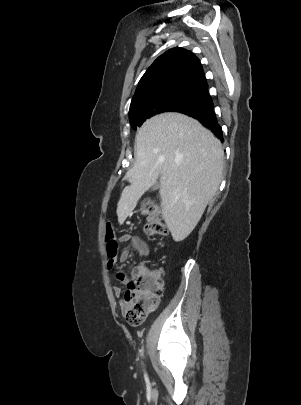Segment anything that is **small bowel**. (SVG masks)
<instances>
[{
    "mask_svg": "<svg viewBox=\"0 0 301 405\" xmlns=\"http://www.w3.org/2000/svg\"><path fill=\"white\" fill-rule=\"evenodd\" d=\"M119 242L120 243L129 242L131 248L142 256H146L149 254V247L147 243L138 236L125 234L119 238ZM129 257H130L129 250H124L121 252L117 251V253L114 256L109 257L107 262L108 268H113L117 261H120L122 263L127 261ZM117 278L122 284H126L129 282L128 276L125 275L122 271L117 272ZM114 293L116 296L120 297L122 295V288L120 286H115Z\"/></svg>",
    "mask_w": 301,
    "mask_h": 405,
    "instance_id": "c3829d8e",
    "label": "small bowel"
}]
</instances>
